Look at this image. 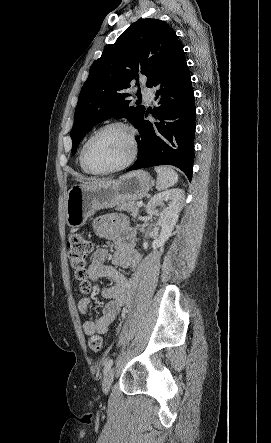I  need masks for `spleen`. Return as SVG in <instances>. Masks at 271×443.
I'll list each match as a JSON object with an SVG mask.
<instances>
[{
    "label": "spleen",
    "mask_w": 271,
    "mask_h": 443,
    "mask_svg": "<svg viewBox=\"0 0 271 443\" xmlns=\"http://www.w3.org/2000/svg\"><path fill=\"white\" fill-rule=\"evenodd\" d=\"M155 172H157L156 190H159V192L172 188L178 182V174L172 168L163 166V168H155Z\"/></svg>",
    "instance_id": "obj_1"
}]
</instances>
